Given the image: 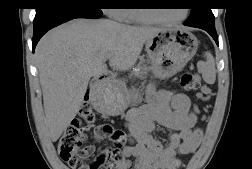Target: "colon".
I'll use <instances>...</instances> for the list:
<instances>
[{
    "label": "colon",
    "instance_id": "5ec220e1",
    "mask_svg": "<svg viewBox=\"0 0 252 169\" xmlns=\"http://www.w3.org/2000/svg\"><path fill=\"white\" fill-rule=\"evenodd\" d=\"M181 86L186 91H198L199 100H207L209 89L202 87L199 78L190 71L181 76ZM80 117L91 125L95 120V114L92 108L85 104L80 109ZM96 135L100 139L112 140L117 146H121L124 142L123 132L114 128L110 124H101L96 129ZM85 132L80 120L72 122L63 132L58 141V152L60 158L68 164L71 169H109L111 163V155L108 151L102 150L92 160L89 159L93 152L92 145H85Z\"/></svg>",
    "mask_w": 252,
    "mask_h": 169
}]
</instances>
